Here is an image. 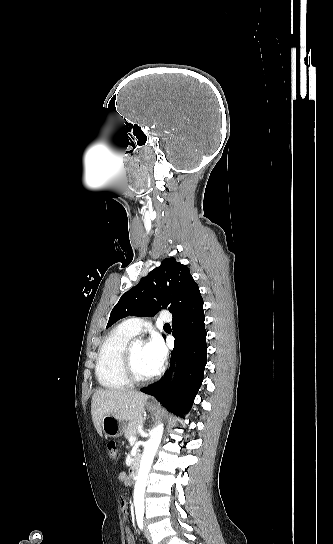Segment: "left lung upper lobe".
<instances>
[{
	"label": "left lung upper lobe",
	"instance_id": "obj_1",
	"mask_svg": "<svg viewBox=\"0 0 333 544\" xmlns=\"http://www.w3.org/2000/svg\"><path fill=\"white\" fill-rule=\"evenodd\" d=\"M202 299L187 266L167 258L124 293L111 311L107 327L126 316H154L163 308L175 312Z\"/></svg>",
	"mask_w": 333,
	"mask_h": 544
}]
</instances>
